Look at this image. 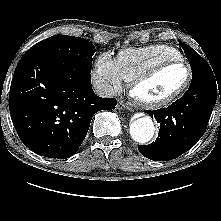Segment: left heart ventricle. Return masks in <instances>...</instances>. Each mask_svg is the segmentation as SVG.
Masks as SVG:
<instances>
[{"label":"left heart ventricle","instance_id":"1","mask_svg":"<svg viewBox=\"0 0 221 221\" xmlns=\"http://www.w3.org/2000/svg\"><path fill=\"white\" fill-rule=\"evenodd\" d=\"M187 68L175 65L162 71L152 80L141 85L137 94L147 100H160L177 91L187 78Z\"/></svg>","mask_w":221,"mask_h":221}]
</instances>
